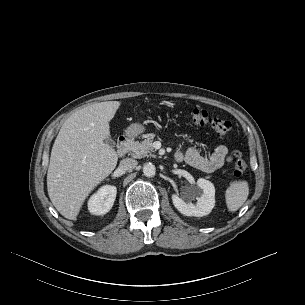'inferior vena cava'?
I'll return each mask as SVG.
<instances>
[{
    "mask_svg": "<svg viewBox=\"0 0 305 305\" xmlns=\"http://www.w3.org/2000/svg\"><path fill=\"white\" fill-rule=\"evenodd\" d=\"M138 162L135 159L132 158H125L120 161L119 168L122 171H132L136 166Z\"/></svg>",
    "mask_w": 305,
    "mask_h": 305,
    "instance_id": "1",
    "label": "inferior vena cava"
}]
</instances>
